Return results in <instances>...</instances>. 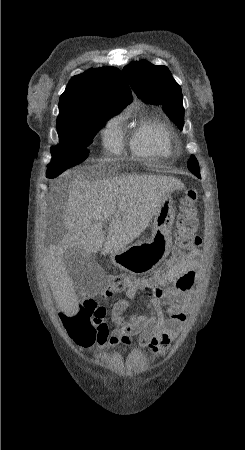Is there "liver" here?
<instances>
[{"label": "liver", "instance_id": "1", "mask_svg": "<svg viewBox=\"0 0 245 450\" xmlns=\"http://www.w3.org/2000/svg\"><path fill=\"white\" fill-rule=\"evenodd\" d=\"M174 177L159 175H116L85 179L74 175L69 183L64 209L68 233L62 241L47 249L44 268L53 296L68 315L79 311L73 280L65 255L81 250L105 255L125 250L148 227L167 194L182 190ZM110 220L105 238L103 222ZM103 246V248H102Z\"/></svg>", "mask_w": 245, "mask_h": 450}]
</instances>
